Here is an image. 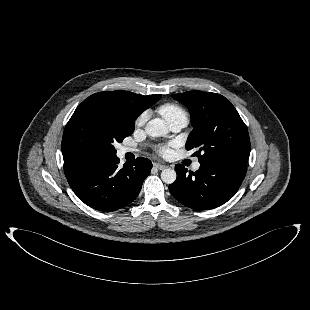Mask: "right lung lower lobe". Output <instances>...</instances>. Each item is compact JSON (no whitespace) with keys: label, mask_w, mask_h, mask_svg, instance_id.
<instances>
[{"label":"right lung lower lobe","mask_w":310,"mask_h":310,"mask_svg":"<svg viewBox=\"0 0 310 310\" xmlns=\"http://www.w3.org/2000/svg\"><path fill=\"white\" fill-rule=\"evenodd\" d=\"M116 155H100L64 161L67 181L86 205L108 212L130 204L139 194L152 163L139 157L118 167Z\"/></svg>","instance_id":"obj_1"}]
</instances>
